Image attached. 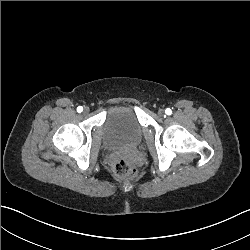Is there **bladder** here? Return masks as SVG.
<instances>
[{
	"mask_svg": "<svg viewBox=\"0 0 250 250\" xmlns=\"http://www.w3.org/2000/svg\"><path fill=\"white\" fill-rule=\"evenodd\" d=\"M143 139L139 115L129 105L113 104L104 109L100 144L117 152L137 148Z\"/></svg>",
	"mask_w": 250,
	"mask_h": 250,
	"instance_id": "obj_1",
	"label": "bladder"
}]
</instances>
